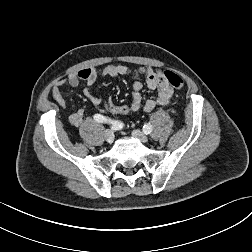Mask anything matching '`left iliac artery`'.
Returning a JSON list of instances; mask_svg holds the SVG:
<instances>
[{"label": "left iliac artery", "instance_id": "obj_1", "mask_svg": "<svg viewBox=\"0 0 252 252\" xmlns=\"http://www.w3.org/2000/svg\"><path fill=\"white\" fill-rule=\"evenodd\" d=\"M152 131V125L150 123H147L143 126V132L145 134H149Z\"/></svg>", "mask_w": 252, "mask_h": 252}]
</instances>
